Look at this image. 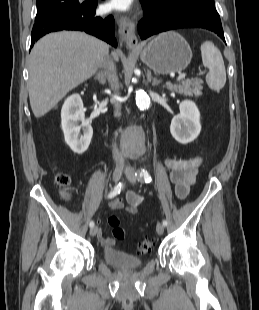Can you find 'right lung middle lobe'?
Listing matches in <instances>:
<instances>
[{"label": "right lung middle lobe", "mask_w": 259, "mask_h": 310, "mask_svg": "<svg viewBox=\"0 0 259 310\" xmlns=\"http://www.w3.org/2000/svg\"><path fill=\"white\" fill-rule=\"evenodd\" d=\"M78 0H37V15L41 16L53 10H69L81 5Z\"/></svg>", "instance_id": "dd1d6c3e"}]
</instances>
